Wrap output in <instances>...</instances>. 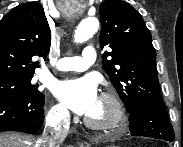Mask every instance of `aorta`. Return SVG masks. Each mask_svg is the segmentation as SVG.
<instances>
[{
  "label": "aorta",
  "mask_w": 183,
  "mask_h": 147,
  "mask_svg": "<svg viewBox=\"0 0 183 147\" xmlns=\"http://www.w3.org/2000/svg\"><path fill=\"white\" fill-rule=\"evenodd\" d=\"M99 28V21L96 17L84 18L77 26L74 34L75 42L82 43L91 38Z\"/></svg>",
  "instance_id": "obj_1"
}]
</instances>
